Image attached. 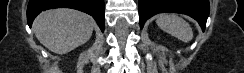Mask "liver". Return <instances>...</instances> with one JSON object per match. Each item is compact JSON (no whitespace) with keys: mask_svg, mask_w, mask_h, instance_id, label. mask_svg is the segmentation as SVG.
Listing matches in <instances>:
<instances>
[{"mask_svg":"<svg viewBox=\"0 0 244 73\" xmlns=\"http://www.w3.org/2000/svg\"><path fill=\"white\" fill-rule=\"evenodd\" d=\"M94 25L93 18L81 11L58 8L38 15L33 28L46 48L53 53L66 54L90 39Z\"/></svg>","mask_w":244,"mask_h":73,"instance_id":"liver-1","label":"liver"}]
</instances>
